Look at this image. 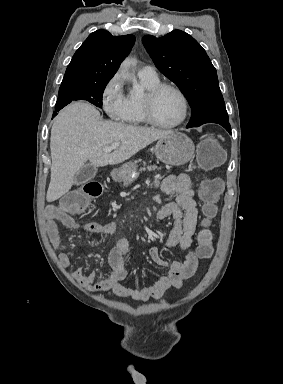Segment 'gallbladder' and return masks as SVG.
I'll list each match as a JSON object with an SVG mask.
<instances>
[{"mask_svg":"<svg viewBox=\"0 0 283 384\" xmlns=\"http://www.w3.org/2000/svg\"><path fill=\"white\" fill-rule=\"evenodd\" d=\"M97 171L95 170L94 165H87L84 168H80L79 172H77L75 176V184L79 186V184H85L88 182L91 177H96Z\"/></svg>","mask_w":283,"mask_h":384,"instance_id":"bac80fb5","label":"gallbladder"}]
</instances>
